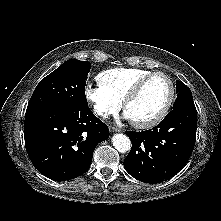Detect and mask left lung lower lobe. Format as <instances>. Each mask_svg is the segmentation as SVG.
Listing matches in <instances>:
<instances>
[{"instance_id": "obj_1", "label": "left lung lower lobe", "mask_w": 221, "mask_h": 221, "mask_svg": "<svg viewBox=\"0 0 221 221\" xmlns=\"http://www.w3.org/2000/svg\"><path fill=\"white\" fill-rule=\"evenodd\" d=\"M196 108H176L153 129L126 131L132 149L124 159L125 170L145 183L172 177L189 160L196 141Z\"/></svg>"}]
</instances>
